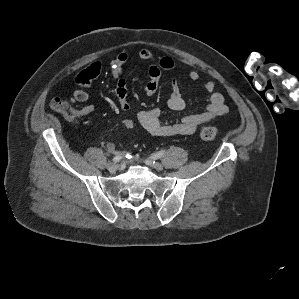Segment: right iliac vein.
Wrapping results in <instances>:
<instances>
[{
  "instance_id": "63e3f726",
  "label": "right iliac vein",
  "mask_w": 299,
  "mask_h": 299,
  "mask_svg": "<svg viewBox=\"0 0 299 299\" xmlns=\"http://www.w3.org/2000/svg\"><path fill=\"white\" fill-rule=\"evenodd\" d=\"M107 168L110 172H115L119 168V165L115 162H109Z\"/></svg>"
}]
</instances>
